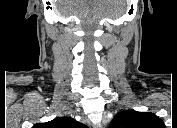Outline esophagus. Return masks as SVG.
I'll return each mask as SVG.
<instances>
[{
	"instance_id": "34e87169",
	"label": "esophagus",
	"mask_w": 177,
	"mask_h": 128,
	"mask_svg": "<svg viewBox=\"0 0 177 128\" xmlns=\"http://www.w3.org/2000/svg\"><path fill=\"white\" fill-rule=\"evenodd\" d=\"M93 128H102V126L101 125H96Z\"/></svg>"
}]
</instances>
